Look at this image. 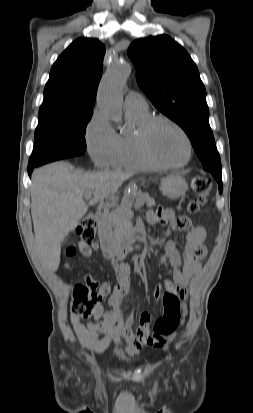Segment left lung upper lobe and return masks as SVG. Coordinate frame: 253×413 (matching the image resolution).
<instances>
[{
  "label": "left lung upper lobe",
  "mask_w": 253,
  "mask_h": 413,
  "mask_svg": "<svg viewBox=\"0 0 253 413\" xmlns=\"http://www.w3.org/2000/svg\"><path fill=\"white\" fill-rule=\"evenodd\" d=\"M128 56L140 88L159 111L186 132L203 168L221 174L206 90L188 52L171 37L158 35L134 41Z\"/></svg>",
  "instance_id": "left-lung-upper-lobe-1"
}]
</instances>
